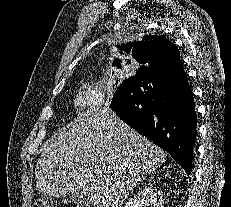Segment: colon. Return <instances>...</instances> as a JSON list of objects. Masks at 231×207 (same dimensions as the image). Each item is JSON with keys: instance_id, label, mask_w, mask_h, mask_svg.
Returning a JSON list of instances; mask_svg holds the SVG:
<instances>
[{"instance_id": "obj_1", "label": "colon", "mask_w": 231, "mask_h": 207, "mask_svg": "<svg viewBox=\"0 0 231 207\" xmlns=\"http://www.w3.org/2000/svg\"><path fill=\"white\" fill-rule=\"evenodd\" d=\"M33 207H79V205L67 199L58 198L37 200Z\"/></svg>"}]
</instances>
